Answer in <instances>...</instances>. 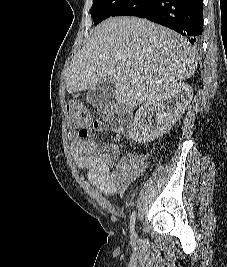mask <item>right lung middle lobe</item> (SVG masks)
I'll list each match as a JSON object with an SVG mask.
<instances>
[{
	"instance_id": "obj_1",
	"label": "right lung middle lobe",
	"mask_w": 227,
	"mask_h": 267,
	"mask_svg": "<svg viewBox=\"0 0 227 267\" xmlns=\"http://www.w3.org/2000/svg\"><path fill=\"white\" fill-rule=\"evenodd\" d=\"M129 1L130 0H93L90 13L94 21V25H97L106 18L113 16Z\"/></svg>"
}]
</instances>
